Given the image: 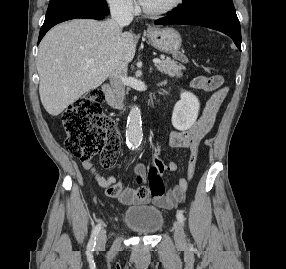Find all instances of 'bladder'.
Listing matches in <instances>:
<instances>
[{"mask_svg":"<svg viewBox=\"0 0 286 269\" xmlns=\"http://www.w3.org/2000/svg\"><path fill=\"white\" fill-rule=\"evenodd\" d=\"M123 223L138 234L153 235L163 228L164 215L154 206H131L124 211Z\"/></svg>","mask_w":286,"mask_h":269,"instance_id":"bladder-1","label":"bladder"}]
</instances>
